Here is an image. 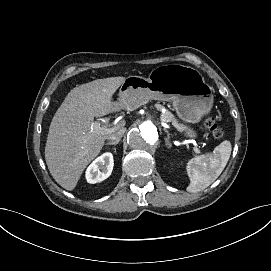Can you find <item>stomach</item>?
Instances as JSON below:
<instances>
[{
    "label": "stomach",
    "mask_w": 271,
    "mask_h": 271,
    "mask_svg": "<svg viewBox=\"0 0 271 271\" xmlns=\"http://www.w3.org/2000/svg\"><path fill=\"white\" fill-rule=\"evenodd\" d=\"M150 99L172 100L181 120V133L196 140L198 132L191 127L205 119L214 105L213 87L206 84L199 71L184 65L169 64L153 69L148 78L129 76L119 89V106L134 110Z\"/></svg>",
    "instance_id": "stomach-1"
}]
</instances>
